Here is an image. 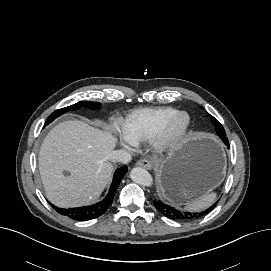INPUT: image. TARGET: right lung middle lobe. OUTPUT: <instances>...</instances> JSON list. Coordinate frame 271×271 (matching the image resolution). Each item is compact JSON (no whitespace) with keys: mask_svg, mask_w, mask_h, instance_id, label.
I'll return each instance as SVG.
<instances>
[{"mask_svg":"<svg viewBox=\"0 0 271 271\" xmlns=\"http://www.w3.org/2000/svg\"><path fill=\"white\" fill-rule=\"evenodd\" d=\"M82 106H88L90 109L95 110V109L100 108V103L91 102V101H81V102H78V103L73 104L71 106L58 109L48 117V119L45 123V126L48 125L49 123H51L53 120H55L58 116L64 114L65 112L77 110Z\"/></svg>","mask_w":271,"mask_h":271,"instance_id":"1","label":"right lung middle lobe"}]
</instances>
